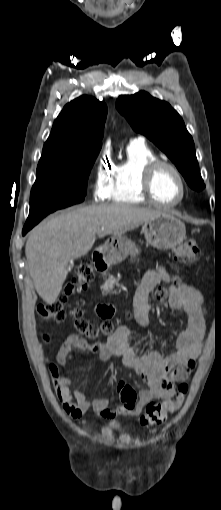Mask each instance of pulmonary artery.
Segmentation results:
<instances>
[{
  "label": "pulmonary artery",
  "mask_w": 221,
  "mask_h": 510,
  "mask_svg": "<svg viewBox=\"0 0 221 510\" xmlns=\"http://www.w3.org/2000/svg\"><path fill=\"white\" fill-rule=\"evenodd\" d=\"M131 141H139V142H143V141H144V139H143V137H136V138H132V140H131Z\"/></svg>",
  "instance_id": "1"
}]
</instances>
